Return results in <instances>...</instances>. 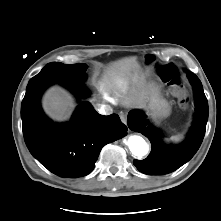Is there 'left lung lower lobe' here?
Segmentation results:
<instances>
[{
	"label": "left lung lower lobe",
	"instance_id": "1",
	"mask_svg": "<svg viewBox=\"0 0 221 221\" xmlns=\"http://www.w3.org/2000/svg\"><path fill=\"white\" fill-rule=\"evenodd\" d=\"M194 88L195 120L187 139L178 146L165 145L157 129L145 118L142 111L133 110L128 114V127L146 136L152 145L150 154L144 160H134L137 169L148 175H163L175 171L188 162L199 149L205 135L208 120V102L198 77L187 74Z\"/></svg>",
	"mask_w": 221,
	"mask_h": 221
}]
</instances>
